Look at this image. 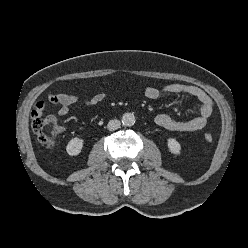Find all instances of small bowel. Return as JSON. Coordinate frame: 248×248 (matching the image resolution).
I'll return each instance as SVG.
<instances>
[{
	"label": "small bowel",
	"mask_w": 248,
	"mask_h": 248,
	"mask_svg": "<svg viewBox=\"0 0 248 248\" xmlns=\"http://www.w3.org/2000/svg\"><path fill=\"white\" fill-rule=\"evenodd\" d=\"M187 94L196 98L201 103L200 115L187 121H177L166 114H158L154 118V122L159 127L175 132H192L205 128L211 118L213 112V101L208 94L201 88L194 85L185 84H168L163 88L147 87L144 91L146 98L156 100L163 95ZM48 101L57 107L59 116H66L71 108L79 103V98L76 95L67 93L48 94ZM106 98L105 92H99L92 97L84 100L82 103L85 106H95ZM46 109V104L43 100L38 99L33 105L31 112L32 120L43 115Z\"/></svg>",
	"instance_id": "obj_1"
}]
</instances>
